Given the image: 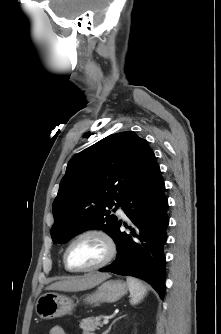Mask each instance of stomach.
I'll return each mask as SVG.
<instances>
[{
    "label": "stomach",
    "instance_id": "1",
    "mask_svg": "<svg viewBox=\"0 0 221 334\" xmlns=\"http://www.w3.org/2000/svg\"><path fill=\"white\" fill-rule=\"evenodd\" d=\"M127 290L128 285L124 281L107 280L94 293L87 295L85 301L95 305L113 303L123 297ZM73 309L74 303L71 298L54 292L41 295L35 306L37 315L42 319L61 317L70 314Z\"/></svg>",
    "mask_w": 221,
    "mask_h": 334
}]
</instances>
